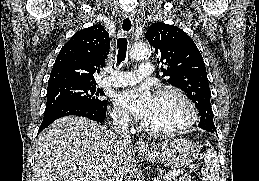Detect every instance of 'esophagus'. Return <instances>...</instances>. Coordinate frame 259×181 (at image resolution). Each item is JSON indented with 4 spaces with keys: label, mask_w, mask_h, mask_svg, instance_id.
Segmentation results:
<instances>
[{
    "label": "esophagus",
    "mask_w": 259,
    "mask_h": 181,
    "mask_svg": "<svg viewBox=\"0 0 259 181\" xmlns=\"http://www.w3.org/2000/svg\"><path fill=\"white\" fill-rule=\"evenodd\" d=\"M133 31V18L130 15H125L121 21V33L122 34H131ZM135 147L138 150H146L147 145L139 140L135 143Z\"/></svg>",
    "instance_id": "esophagus-1"
}]
</instances>
